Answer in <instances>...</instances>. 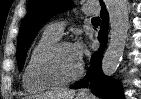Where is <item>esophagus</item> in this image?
<instances>
[{
	"label": "esophagus",
	"mask_w": 141,
	"mask_h": 99,
	"mask_svg": "<svg viewBox=\"0 0 141 99\" xmlns=\"http://www.w3.org/2000/svg\"><path fill=\"white\" fill-rule=\"evenodd\" d=\"M86 92L84 91V90H82L81 92H80V94H82V95H84Z\"/></svg>",
	"instance_id": "esophagus-1"
}]
</instances>
